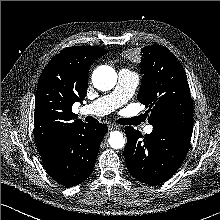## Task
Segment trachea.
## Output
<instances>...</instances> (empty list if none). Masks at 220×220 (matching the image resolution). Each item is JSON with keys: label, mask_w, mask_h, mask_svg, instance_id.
<instances>
[{"label": "trachea", "mask_w": 220, "mask_h": 220, "mask_svg": "<svg viewBox=\"0 0 220 220\" xmlns=\"http://www.w3.org/2000/svg\"><path fill=\"white\" fill-rule=\"evenodd\" d=\"M86 122H96V119L93 117H87L85 119ZM118 124L121 125H133V119L132 118H125V119H119L116 121Z\"/></svg>", "instance_id": "3493384b"}]
</instances>
